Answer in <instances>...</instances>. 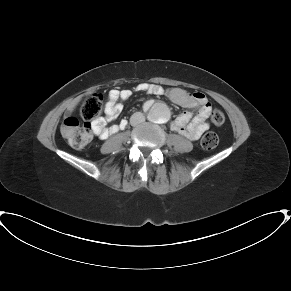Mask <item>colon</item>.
Masks as SVG:
<instances>
[{
	"mask_svg": "<svg viewBox=\"0 0 291 291\" xmlns=\"http://www.w3.org/2000/svg\"><path fill=\"white\" fill-rule=\"evenodd\" d=\"M104 108V96L93 94L85 99L81 106L80 116L82 123L75 117H68L61 125V134L68 143L76 148L86 147L92 140L93 124L100 121ZM212 122L220 126L224 123V114L215 109L211 115ZM218 136L215 133L206 134L201 140V146L205 150H212L218 144Z\"/></svg>",
	"mask_w": 291,
	"mask_h": 291,
	"instance_id": "colon-1",
	"label": "colon"
}]
</instances>
